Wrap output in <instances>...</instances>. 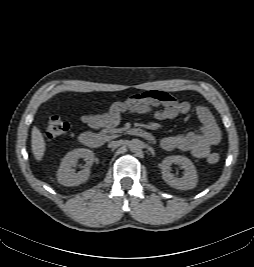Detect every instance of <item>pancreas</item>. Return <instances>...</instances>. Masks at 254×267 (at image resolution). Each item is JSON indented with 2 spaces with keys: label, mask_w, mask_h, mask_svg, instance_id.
<instances>
[{
  "label": "pancreas",
  "mask_w": 254,
  "mask_h": 267,
  "mask_svg": "<svg viewBox=\"0 0 254 267\" xmlns=\"http://www.w3.org/2000/svg\"><path fill=\"white\" fill-rule=\"evenodd\" d=\"M103 132L118 133L121 132V129H111V130L104 129Z\"/></svg>",
  "instance_id": "obj_1"
}]
</instances>
